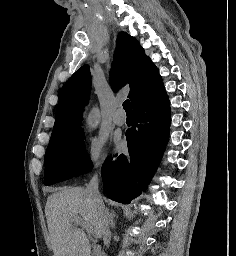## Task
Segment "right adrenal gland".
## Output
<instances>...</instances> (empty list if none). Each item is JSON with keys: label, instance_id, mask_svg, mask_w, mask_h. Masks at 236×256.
Masks as SVG:
<instances>
[{"label": "right adrenal gland", "instance_id": "2a0ac1e0", "mask_svg": "<svg viewBox=\"0 0 236 256\" xmlns=\"http://www.w3.org/2000/svg\"><path fill=\"white\" fill-rule=\"evenodd\" d=\"M106 214L110 220V228H115V222H114V218H116L115 216V212H109L108 208H106Z\"/></svg>", "mask_w": 236, "mask_h": 256}]
</instances>
